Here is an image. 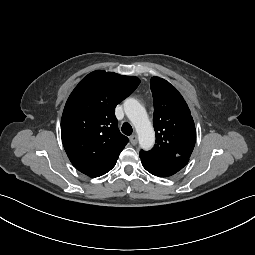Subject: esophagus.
Instances as JSON below:
<instances>
[{
  "label": "esophagus",
  "mask_w": 255,
  "mask_h": 255,
  "mask_svg": "<svg viewBox=\"0 0 255 255\" xmlns=\"http://www.w3.org/2000/svg\"><path fill=\"white\" fill-rule=\"evenodd\" d=\"M130 142H131L132 145L137 144V136L135 134L130 136Z\"/></svg>",
  "instance_id": "34e87169"
}]
</instances>
